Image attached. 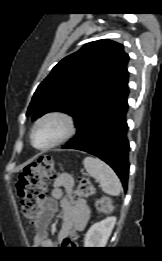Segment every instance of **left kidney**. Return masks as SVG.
<instances>
[{
    "label": "left kidney",
    "mask_w": 162,
    "mask_h": 261,
    "mask_svg": "<svg viewBox=\"0 0 162 261\" xmlns=\"http://www.w3.org/2000/svg\"><path fill=\"white\" fill-rule=\"evenodd\" d=\"M116 223V217H107L93 224L85 235L84 246L87 248H103L112 233Z\"/></svg>",
    "instance_id": "obj_1"
}]
</instances>
